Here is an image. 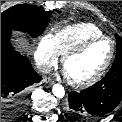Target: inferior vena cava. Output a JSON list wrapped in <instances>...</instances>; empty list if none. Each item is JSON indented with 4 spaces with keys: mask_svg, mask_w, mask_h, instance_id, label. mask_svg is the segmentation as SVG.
<instances>
[{
    "mask_svg": "<svg viewBox=\"0 0 122 122\" xmlns=\"http://www.w3.org/2000/svg\"><path fill=\"white\" fill-rule=\"evenodd\" d=\"M37 69L44 74L51 72V66L47 64L37 65Z\"/></svg>",
    "mask_w": 122,
    "mask_h": 122,
    "instance_id": "602c4592",
    "label": "inferior vena cava"
}]
</instances>
